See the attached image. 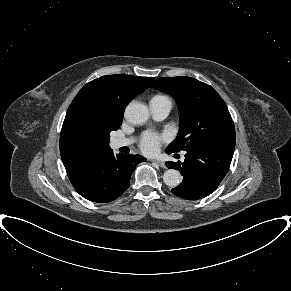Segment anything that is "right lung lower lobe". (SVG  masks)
Masks as SVG:
<instances>
[{"mask_svg": "<svg viewBox=\"0 0 291 291\" xmlns=\"http://www.w3.org/2000/svg\"><path fill=\"white\" fill-rule=\"evenodd\" d=\"M146 159L141 155L113 154L112 150L91 164L72 185L87 200L111 202L129 187L135 166Z\"/></svg>", "mask_w": 291, "mask_h": 291, "instance_id": "obj_1", "label": "right lung lower lobe"}]
</instances>
